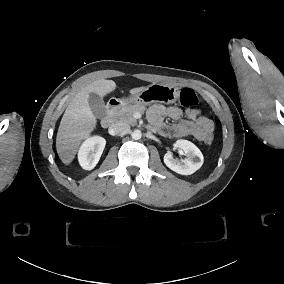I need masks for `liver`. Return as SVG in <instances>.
Segmentation results:
<instances>
[{
	"label": "liver",
	"mask_w": 284,
	"mask_h": 284,
	"mask_svg": "<svg viewBox=\"0 0 284 284\" xmlns=\"http://www.w3.org/2000/svg\"><path fill=\"white\" fill-rule=\"evenodd\" d=\"M115 88L113 80L101 78L81 86L74 95L61 119L56 137L57 153L64 164L72 162L82 140L89 138L96 126V118L89 106L90 93L103 97ZM144 89L133 88L130 93L135 95Z\"/></svg>",
	"instance_id": "liver-1"
}]
</instances>
